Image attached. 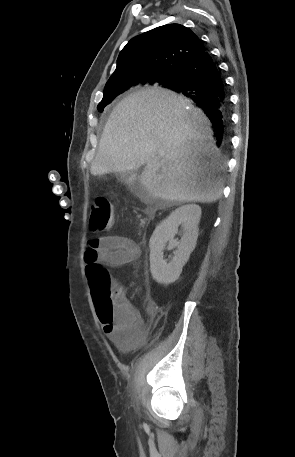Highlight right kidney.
<instances>
[{
  "mask_svg": "<svg viewBox=\"0 0 295 457\" xmlns=\"http://www.w3.org/2000/svg\"><path fill=\"white\" fill-rule=\"evenodd\" d=\"M200 217L201 208L195 204H188L174 210L156 226L149 241L150 270L156 282L170 284L179 278L183 266L196 246ZM179 226L182 228V237L177 241L174 236ZM167 242L169 250L177 248L169 263L163 259V250Z\"/></svg>",
  "mask_w": 295,
  "mask_h": 457,
  "instance_id": "ca27d5eb",
  "label": "right kidney"
}]
</instances>
